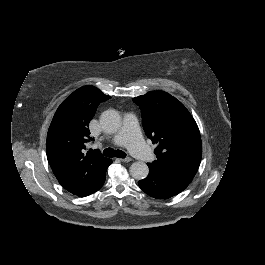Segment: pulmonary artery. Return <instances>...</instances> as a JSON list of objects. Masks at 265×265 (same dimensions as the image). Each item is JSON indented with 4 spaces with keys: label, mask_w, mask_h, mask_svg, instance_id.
Here are the masks:
<instances>
[{
    "label": "pulmonary artery",
    "mask_w": 265,
    "mask_h": 265,
    "mask_svg": "<svg viewBox=\"0 0 265 265\" xmlns=\"http://www.w3.org/2000/svg\"><path fill=\"white\" fill-rule=\"evenodd\" d=\"M126 117V115H125ZM125 130L118 133H113L109 137V142L113 146H118L120 143L127 144L130 152L135 154L139 161L147 163L151 159L149 149L141 142L139 126L135 118L128 117L124 121Z\"/></svg>",
    "instance_id": "pulmonary-artery-1"
}]
</instances>
